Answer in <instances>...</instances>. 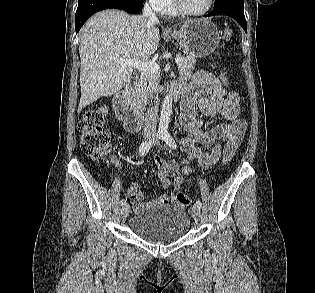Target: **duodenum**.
Wrapping results in <instances>:
<instances>
[{
	"mask_svg": "<svg viewBox=\"0 0 315 293\" xmlns=\"http://www.w3.org/2000/svg\"><path fill=\"white\" fill-rule=\"evenodd\" d=\"M134 92L133 84L126 85L119 93L114 97V109L115 113L120 121L124 123V127L129 132L137 131L142 124L143 118L132 103V94ZM172 97L177 100L179 93L173 91Z\"/></svg>",
	"mask_w": 315,
	"mask_h": 293,
	"instance_id": "1",
	"label": "duodenum"
}]
</instances>
